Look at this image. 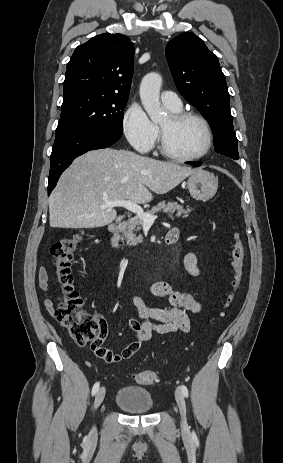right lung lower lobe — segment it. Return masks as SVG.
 <instances>
[{"instance_id":"obj_1","label":"right lung lower lobe","mask_w":283,"mask_h":463,"mask_svg":"<svg viewBox=\"0 0 283 463\" xmlns=\"http://www.w3.org/2000/svg\"><path fill=\"white\" fill-rule=\"evenodd\" d=\"M120 137V134L93 128L56 136L50 157L48 195L56 186L62 172L76 157L89 150L109 147Z\"/></svg>"}]
</instances>
